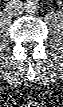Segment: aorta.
<instances>
[{"label":"aorta","mask_w":63,"mask_h":107,"mask_svg":"<svg viewBox=\"0 0 63 107\" xmlns=\"http://www.w3.org/2000/svg\"><path fill=\"white\" fill-rule=\"evenodd\" d=\"M39 4L36 0H27L24 3V10L28 13H34L37 11Z\"/></svg>","instance_id":"aorta-1"}]
</instances>
